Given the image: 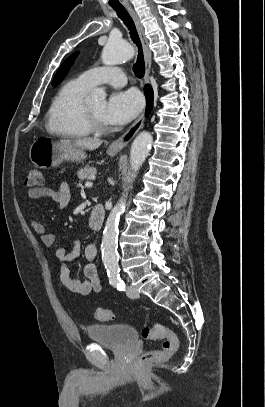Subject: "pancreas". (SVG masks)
Returning a JSON list of instances; mask_svg holds the SVG:
<instances>
[{
    "label": "pancreas",
    "mask_w": 265,
    "mask_h": 407,
    "mask_svg": "<svg viewBox=\"0 0 265 407\" xmlns=\"http://www.w3.org/2000/svg\"><path fill=\"white\" fill-rule=\"evenodd\" d=\"M97 173L96 168L86 167L78 171L79 180H90Z\"/></svg>",
    "instance_id": "pancreas-1"
}]
</instances>
